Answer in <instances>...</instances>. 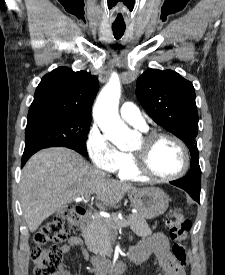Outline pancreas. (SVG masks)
I'll list each match as a JSON object with an SVG mask.
<instances>
[{
  "label": "pancreas",
  "instance_id": "obj_1",
  "mask_svg": "<svg viewBox=\"0 0 225 275\" xmlns=\"http://www.w3.org/2000/svg\"><path fill=\"white\" fill-rule=\"evenodd\" d=\"M130 221L124 225L117 214L105 219L102 217L94 218L90 224L84 229V238L91 252L100 256H109L112 252L111 241L118 233V230L125 226H130L131 230L140 237L150 235L152 233L144 217L139 214H130L126 217Z\"/></svg>",
  "mask_w": 225,
  "mask_h": 275
}]
</instances>
